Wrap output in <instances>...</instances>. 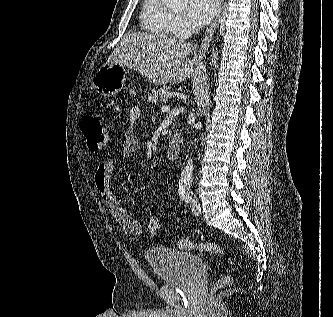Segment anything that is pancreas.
Returning a JSON list of instances; mask_svg holds the SVG:
<instances>
[{"mask_svg": "<svg viewBox=\"0 0 333 317\" xmlns=\"http://www.w3.org/2000/svg\"><path fill=\"white\" fill-rule=\"evenodd\" d=\"M168 87H160L151 90L150 95L148 96L149 103H155L159 105L161 102H165L168 96Z\"/></svg>", "mask_w": 333, "mask_h": 317, "instance_id": "obj_1", "label": "pancreas"}]
</instances>
